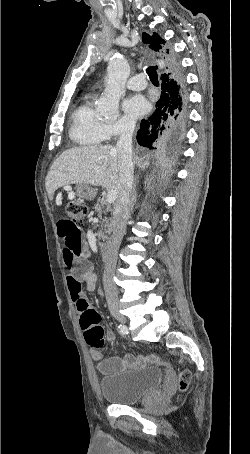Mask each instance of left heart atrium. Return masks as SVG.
Segmentation results:
<instances>
[{"mask_svg":"<svg viewBox=\"0 0 250 454\" xmlns=\"http://www.w3.org/2000/svg\"><path fill=\"white\" fill-rule=\"evenodd\" d=\"M124 113L133 119L139 118L147 113L149 104L142 95L128 97L122 105Z\"/></svg>","mask_w":250,"mask_h":454,"instance_id":"39dd6f15","label":"left heart atrium"}]
</instances>
